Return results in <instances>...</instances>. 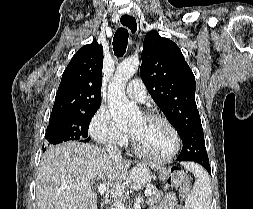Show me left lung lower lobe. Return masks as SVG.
<instances>
[{
	"label": "left lung lower lobe",
	"instance_id": "0a47b994",
	"mask_svg": "<svg viewBox=\"0 0 253 209\" xmlns=\"http://www.w3.org/2000/svg\"><path fill=\"white\" fill-rule=\"evenodd\" d=\"M194 162H197L200 165H202L211 174V169H210V165H209V160L208 159H205V160L199 159V160H196Z\"/></svg>",
	"mask_w": 253,
	"mask_h": 209
}]
</instances>
